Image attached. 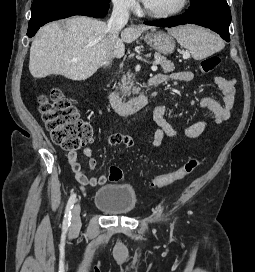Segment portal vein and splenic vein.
<instances>
[{
  "label": "portal vein and splenic vein",
  "instance_id": "18ae733b",
  "mask_svg": "<svg viewBox=\"0 0 255 272\" xmlns=\"http://www.w3.org/2000/svg\"><path fill=\"white\" fill-rule=\"evenodd\" d=\"M158 68H157V63H154L151 67V70L152 71H156Z\"/></svg>",
  "mask_w": 255,
  "mask_h": 272
}]
</instances>
